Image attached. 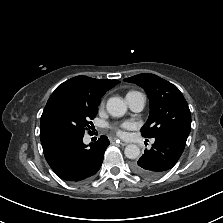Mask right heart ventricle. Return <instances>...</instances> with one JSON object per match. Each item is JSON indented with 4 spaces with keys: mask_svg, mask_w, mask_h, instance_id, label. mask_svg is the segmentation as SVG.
<instances>
[{
    "mask_svg": "<svg viewBox=\"0 0 223 223\" xmlns=\"http://www.w3.org/2000/svg\"><path fill=\"white\" fill-rule=\"evenodd\" d=\"M135 92L136 91H130V92L127 93V96L130 95V94H132V93H135Z\"/></svg>",
    "mask_w": 223,
    "mask_h": 223,
    "instance_id": "obj_1",
    "label": "right heart ventricle"
}]
</instances>
